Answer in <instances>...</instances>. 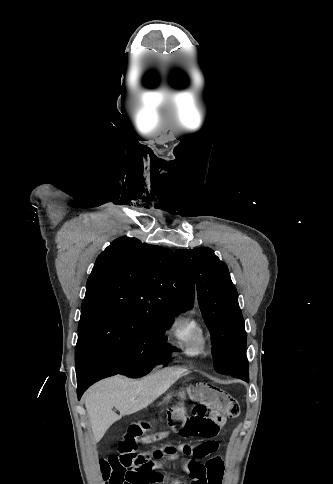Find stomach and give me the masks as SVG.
<instances>
[{
  "label": "stomach",
  "mask_w": 333,
  "mask_h": 484,
  "mask_svg": "<svg viewBox=\"0 0 333 484\" xmlns=\"http://www.w3.org/2000/svg\"><path fill=\"white\" fill-rule=\"evenodd\" d=\"M173 394V393H172ZM177 394V393H176ZM180 395V393H178ZM172 396L171 395H168L166 398H165V402L168 403L169 399L171 398Z\"/></svg>",
  "instance_id": "obj_1"
}]
</instances>
